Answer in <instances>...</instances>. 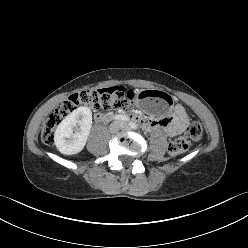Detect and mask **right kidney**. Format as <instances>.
Here are the masks:
<instances>
[{
  "label": "right kidney",
  "instance_id": "ca27d5eb",
  "mask_svg": "<svg viewBox=\"0 0 248 248\" xmlns=\"http://www.w3.org/2000/svg\"><path fill=\"white\" fill-rule=\"evenodd\" d=\"M92 127V112L88 107H79L58 125L54 142L64 155L81 152L87 142Z\"/></svg>",
  "mask_w": 248,
  "mask_h": 248
}]
</instances>
